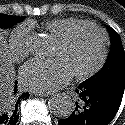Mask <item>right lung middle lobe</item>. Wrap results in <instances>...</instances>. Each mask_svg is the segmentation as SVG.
Listing matches in <instances>:
<instances>
[{
	"mask_svg": "<svg viewBox=\"0 0 125 125\" xmlns=\"http://www.w3.org/2000/svg\"><path fill=\"white\" fill-rule=\"evenodd\" d=\"M24 16L19 17V16H11V15H5V14H0V27L2 28H9L22 20H24ZM14 98V96L11 97L10 101Z\"/></svg>",
	"mask_w": 125,
	"mask_h": 125,
	"instance_id": "dd1d6c3e",
	"label": "right lung middle lobe"
}]
</instances>
